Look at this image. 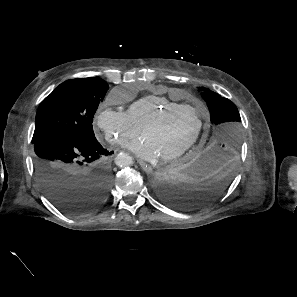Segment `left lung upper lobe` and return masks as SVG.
Instances as JSON below:
<instances>
[{
    "mask_svg": "<svg viewBox=\"0 0 297 297\" xmlns=\"http://www.w3.org/2000/svg\"><path fill=\"white\" fill-rule=\"evenodd\" d=\"M210 111L213 131L208 146L213 145L232 154H237L241 143L240 114L229 99L205 87H199Z\"/></svg>",
    "mask_w": 297,
    "mask_h": 297,
    "instance_id": "1",
    "label": "left lung upper lobe"
}]
</instances>
